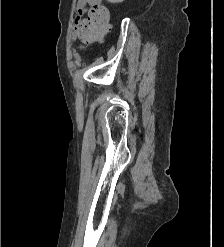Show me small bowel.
Here are the masks:
<instances>
[{
    "mask_svg": "<svg viewBox=\"0 0 224 247\" xmlns=\"http://www.w3.org/2000/svg\"><path fill=\"white\" fill-rule=\"evenodd\" d=\"M101 0H77L76 3V15L74 18L73 36L80 38V31L83 22L85 21L84 16L88 15L90 9L99 6Z\"/></svg>",
    "mask_w": 224,
    "mask_h": 247,
    "instance_id": "small-bowel-1",
    "label": "small bowel"
}]
</instances>
